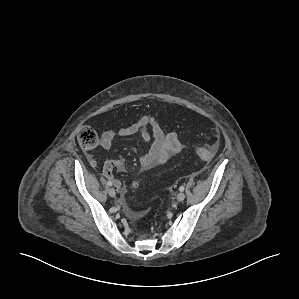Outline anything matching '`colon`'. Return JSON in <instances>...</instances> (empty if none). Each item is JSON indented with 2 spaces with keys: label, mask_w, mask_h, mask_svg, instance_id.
Segmentation results:
<instances>
[{
  "label": "colon",
  "mask_w": 299,
  "mask_h": 299,
  "mask_svg": "<svg viewBox=\"0 0 299 299\" xmlns=\"http://www.w3.org/2000/svg\"><path fill=\"white\" fill-rule=\"evenodd\" d=\"M77 139L81 147L84 149H93L98 144V136L96 132L89 126H83L79 129ZM217 152V147L214 144L201 146L196 149V154L203 160H211ZM139 182H134L133 187L137 188Z\"/></svg>",
  "instance_id": "colon-1"
}]
</instances>
